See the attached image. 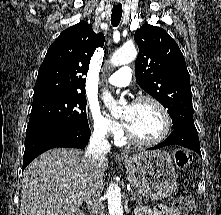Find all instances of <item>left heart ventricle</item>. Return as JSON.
Returning a JSON list of instances; mask_svg holds the SVG:
<instances>
[{
	"instance_id": "b2bd125f",
	"label": "left heart ventricle",
	"mask_w": 221,
	"mask_h": 215,
	"mask_svg": "<svg viewBox=\"0 0 221 215\" xmlns=\"http://www.w3.org/2000/svg\"><path fill=\"white\" fill-rule=\"evenodd\" d=\"M122 117L127 128L137 137L151 140L160 135L163 118L159 109L151 102L134 103L125 107Z\"/></svg>"
}]
</instances>
